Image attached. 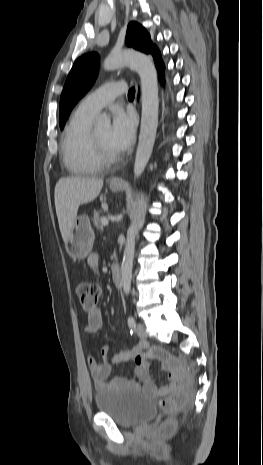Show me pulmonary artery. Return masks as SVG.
Here are the masks:
<instances>
[{
	"instance_id": "1",
	"label": "pulmonary artery",
	"mask_w": 263,
	"mask_h": 465,
	"mask_svg": "<svg viewBox=\"0 0 263 465\" xmlns=\"http://www.w3.org/2000/svg\"><path fill=\"white\" fill-rule=\"evenodd\" d=\"M125 91L126 84L123 81L107 83L83 98L77 109L94 116Z\"/></svg>"
}]
</instances>
